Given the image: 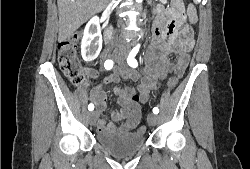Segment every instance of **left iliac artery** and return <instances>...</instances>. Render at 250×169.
<instances>
[{
    "instance_id": "left-iliac-artery-1",
    "label": "left iliac artery",
    "mask_w": 250,
    "mask_h": 169,
    "mask_svg": "<svg viewBox=\"0 0 250 169\" xmlns=\"http://www.w3.org/2000/svg\"><path fill=\"white\" fill-rule=\"evenodd\" d=\"M138 50H132L127 58V63L129 66H131L132 68H136L138 66V62L135 59V56L137 54ZM153 113L154 114H158L159 113V109L157 107L153 108Z\"/></svg>"
}]
</instances>
